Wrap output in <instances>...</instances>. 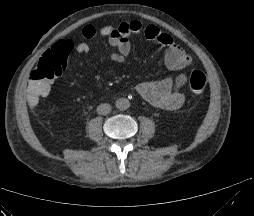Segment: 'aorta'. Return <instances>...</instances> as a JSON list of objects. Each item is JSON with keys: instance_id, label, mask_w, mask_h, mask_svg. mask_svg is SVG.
Segmentation results:
<instances>
[{"instance_id": "obj_1", "label": "aorta", "mask_w": 254, "mask_h": 216, "mask_svg": "<svg viewBox=\"0 0 254 216\" xmlns=\"http://www.w3.org/2000/svg\"><path fill=\"white\" fill-rule=\"evenodd\" d=\"M115 106L117 107V109L123 111L130 107V102L126 98H119L116 100Z\"/></svg>"}]
</instances>
